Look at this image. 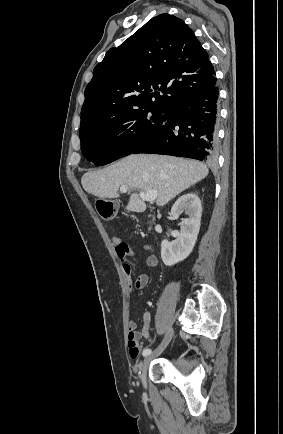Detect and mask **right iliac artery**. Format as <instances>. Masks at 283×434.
Returning <instances> with one entry per match:
<instances>
[{
  "label": "right iliac artery",
  "mask_w": 283,
  "mask_h": 434,
  "mask_svg": "<svg viewBox=\"0 0 283 434\" xmlns=\"http://www.w3.org/2000/svg\"><path fill=\"white\" fill-rule=\"evenodd\" d=\"M152 353V350L151 349H149V348H145L144 350H143V356H148V355H150Z\"/></svg>",
  "instance_id": "1"
}]
</instances>
